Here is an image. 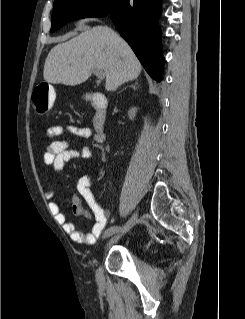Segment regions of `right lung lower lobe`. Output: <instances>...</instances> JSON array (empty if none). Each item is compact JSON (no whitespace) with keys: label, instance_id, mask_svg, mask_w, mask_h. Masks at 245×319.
<instances>
[{"label":"right lung lower lobe","instance_id":"right-lung-lower-lobe-1","mask_svg":"<svg viewBox=\"0 0 245 319\" xmlns=\"http://www.w3.org/2000/svg\"><path fill=\"white\" fill-rule=\"evenodd\" d=\"M161 0H120L110 15L121 36L128 42L148 74L162 80L164 57L160 45L158 18Z\"/></svg>","mask_w":245,"mask_h":319}]
</instances>
